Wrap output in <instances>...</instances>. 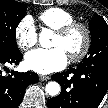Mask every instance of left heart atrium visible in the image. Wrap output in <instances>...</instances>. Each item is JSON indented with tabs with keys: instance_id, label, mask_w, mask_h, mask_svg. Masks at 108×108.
Returning a JSON list of instances; mask_svg holds the SVG:
<instances>
[{
	"instance_id": "1",
	"label": "left heart atrium",
	"mask_w": 108,
	"mask_h": 108,
	"mask_svg": "<svg viewBox=\"0 0 108 108\" xmlns=\"http://www.w3.org/2000/svg\"><path fill=\"white\" fill-rule=\"evenodd\" d=\"M68 61L64 49L53 47L51 49H36L26 54V66L39 74H49L62 70Z\"/></svg>"
}]
</instances>
